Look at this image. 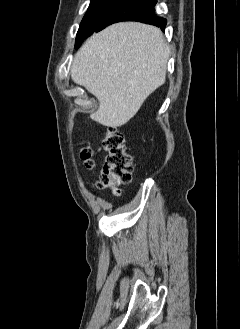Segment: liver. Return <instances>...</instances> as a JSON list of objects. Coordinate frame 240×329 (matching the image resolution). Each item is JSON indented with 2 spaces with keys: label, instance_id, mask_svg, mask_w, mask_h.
<instances>
[{
  "label": "liver",
  "instance_id": "liver-1",
  "mask_svg": "<svg viewBox=\"0 0 240 329\" xmlns=\"http://www.w3.org/2000/svg\"><path fill=\"white\" fill-rule=\"evenodd\" d=\"M169 46L157 27L123 22L94 33L76 53L72 80L99 101L91 118L107 127L126 124L166 80Z\"/></svg>",
  "mask_w": 240,
  "mask_h": 329
}]
</instances>
